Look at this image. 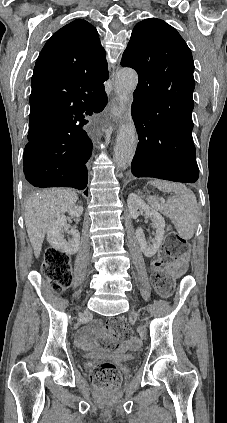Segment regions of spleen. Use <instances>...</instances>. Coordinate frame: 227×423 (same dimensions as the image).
I'll return each instance as SVG.
<instances>
[{"instance_id":"obj_1","label":"spleen","mask_w":227,"mask_h":423,"mask_svg":"<svg viewBox=\"0 0 227 423\" xmlns=\"http://www.w3.org/2000/svg\"><path fill=\"white\" fill-rule=\"evenodd\" d=\"M150 186H156L160 192H175L167 202H160L156 196H150L149 204L154 210L161 211L170 217L180 237L190 239L194 235L198 219L197 200L192 190H187L183 184H170L162 180H150Z\"/></svg>"}]
</instances>
